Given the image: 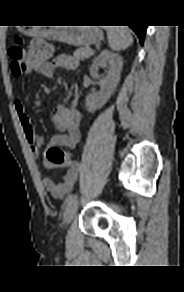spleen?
<instances>
[{"mask_svg":"<svg viewBox=\"0 0 184 292\" xmlns=\"http://www.w3.org/2000/svg\"><path fill=\"white\" fill-rule=\"evenodd\" d=\"M109 47L113 51H121L127 49L133 43V37L130 29L122 26L105 27Z\"/></svg>","mask_w":184,"mask_h":292,"instance_id":"3e777b00","label":"spleen"}]
</instances>
